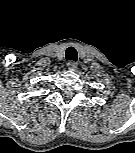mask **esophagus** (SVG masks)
<instances>
[{
  "label": "esophagus",
  "mask_w": 135,
  "mask_h": 153,
  "mask_svg": "<svg viewBox=\"0 0 135 153\" xmlns=\"http://www.w3.org/2000/svg\"><path fill=\"white\" fill-rule=\"evenodd\" d=\"M67 67H68V69H70V70H75V69L77 68V63L74 62V61H69V62L67 63Z\"/></svg>",
  "instance_id": "1"
}]
</instances>
